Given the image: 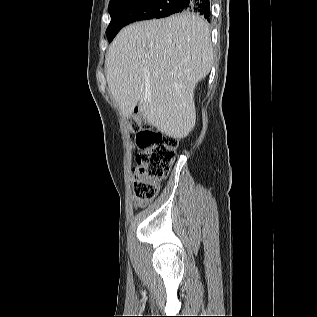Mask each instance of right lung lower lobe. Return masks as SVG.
I'll list each match as a JSON object with an SVG mask.
<instances>
[{
  "label": "right lung lower lobe",
  "mask_w": 317,
  "mask_h": 317,
  "mask_svg": "<svg viewBox=\"0 0 317 317\" xmlns=\"http://www.w3.org/2000/svg\"><path fill=\"white\" fill-rule=\"evenodd\" d=\"M178 8L176 13L192 12L204 16L210 21V2L209 0H175Z\"/></svg>",
  "instance_id": "98d812e1"
}]
</instances>
